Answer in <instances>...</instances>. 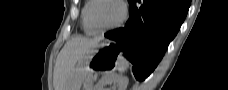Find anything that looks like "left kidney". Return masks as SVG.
Listing matches in <instances>:
<instances>
[{"instance_id":"obj_1","label":"left kidney","mask_w":228,"mask_h":90,"mask_svg":"<svg viewBox=\"0 0 228 90\" xmlns=\"http://www.w3.org/2000/svg\"><path fill=\"white\" fill-rule=\"evenodd\" d=\"M128 78L120 76L118 74L110 73L104 75L99 82L96 84L94 90H104V87L108 84H114L117 86L116 90H126L128 85Z\"/></svg>"}]
</instances>
